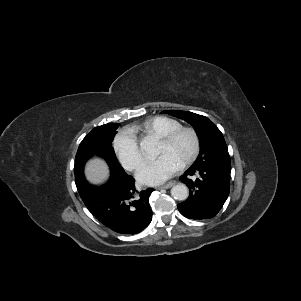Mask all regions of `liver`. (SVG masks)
Returning <instances> with one entry per match:
<instances>
[{
  "label": "liver",
  "mask_w": 301,
  "mask_h": 301,
  "mask_svg": "<svg viewBox=\"0 0 301 301\" xmlns=\"http://www.w3.org/2000/svg\"><path fill=\"white\" fill-rule=\"evenodd\" d=\"M86 176L92 183H102L108 177V167L101 159L91 160L86 166Z\"/></svg>",
  "instance_id": "liver-1"
}]
</instances>
